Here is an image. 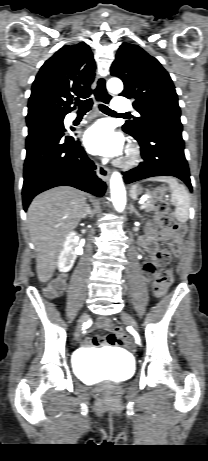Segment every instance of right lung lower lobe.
Segmentation results:
<instances>
[{"instance_id":"obj_1","label":"right lung lower lobe","mask_w":208,"mask_h":461,"mask_svg":"<svg viewBox=\"0 0 208 461\" xmlns=\"http://www.w3.org/2000/svg\"><path fill=\"white\" fill-rule=\"evenodd\" d=\"M95 170L80 142L65 135L63 127H47L28 135L22 188L24 210L37 194L61 185L102 196L106 185Z\"/></svg>"}]
</instances>
